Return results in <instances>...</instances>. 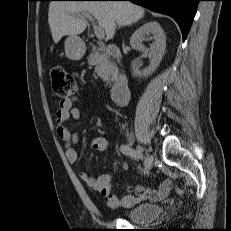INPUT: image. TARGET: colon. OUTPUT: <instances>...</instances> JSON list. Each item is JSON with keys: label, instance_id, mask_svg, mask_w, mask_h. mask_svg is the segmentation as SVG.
<instances>
[{"label": "colon", "instance_id": "1", "mask_svg": "<svg viewBox=\"0 0 231 231\" xmlns=\"http://www.w3.org/2000/svg\"><path fill=\"white\" fill-rule=\"evenodd\" d=\"M51 81L54 94L62 99H69L75 96L77 85L74 77L63 67L51 69Z\"/></svg>", "mask_w": 231, "mask_h": 231}]
</instances>
